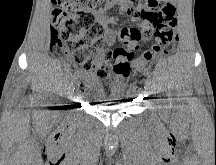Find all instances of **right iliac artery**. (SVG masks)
I'll list each match as a JSON object with an SVG mask.
<instances>
[{
  "mask_svg": "<svg viewBox=\"0 0 216 165\" xmlns=\"http://www.w3.org/2000/svg\"><path fill=\"white\" fill-rule=\"evenodd\" d=\"M79 73H75L74 75H71V78H70V84L72 85L74 83V81L76 80V78L78 77Z\"/></svg>",
  "mask_w": 216,
  "mask_h": 165,
  "instance_id": "82829eb1",
  "label": "right iliac artery"
}]
</instances>
